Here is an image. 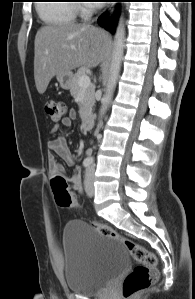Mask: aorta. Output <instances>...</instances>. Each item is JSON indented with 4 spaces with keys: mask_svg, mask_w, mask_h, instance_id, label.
Instances as JSON below:
<instances>
[{
    "mask_svg": "<svg viewBox=\"0 0 195 299\" xmlns=\"http://www.w3.org/2000/svg\"><path fill=\"white\" fill-rule=\"evenodd\" d=\"M124 46H125V27H124V21L120 19L115 32L114 49H113L111 66H110V74L107 83L106 93L102 99V106L99 112L100 118L104 116L111 102L113 92L120 73L121 63L124 54Z\"/></svg>",
    "mask_w": 195,
    "mask_h": 299,
    "instance_id": "762f6f07",
    "label": "aorta"
}]
</instances>
